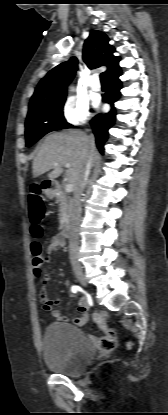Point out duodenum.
<instances>
[{"label": "duodenum", "instance_id": "1", "mask_svg": "<svg viewBox=\"0 0 168 415\" xmlns=\"http://www.w3.org/2000/svg\"><path fill=\"white\" fill-rule=\"evenodd\" d=\"M43 190L48 193L49 195H56L59 193L60 189L56 182L51 180H44L41 184ZM69 223L67 221H63L59 226V233L63 238L68 237L69 235Z\"/></svg>", "mask_w": 168, "mask_h": 415}]
</instances>
